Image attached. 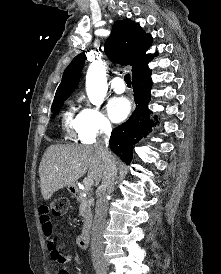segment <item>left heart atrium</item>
I'll return each mask as SVG.
<instances>
[{
    "instance_id": "1",
    "label": "left heart atrium",
    "mask_w": 221,
    "mask_h": 274,
    "mask_svg": "<svg viewBox=\"0 0 221 274\" xmlns=\"http://www.w3.org/2000/svg\"><path fill=\"white\" fill-rule=\"evenodd\" d=\"M130 111V101L125 97H113L107 104L108 116L115 123L126 119L130 114Z\"/></svg>"
}]
</instances>
